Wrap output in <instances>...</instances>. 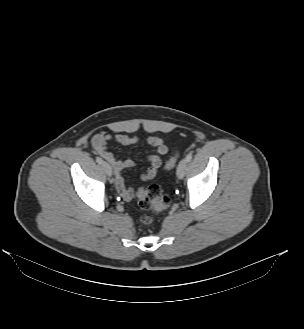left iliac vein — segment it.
<instances>
[{
    "instance_id": "4c4485c4",
    "label": "left iliac vein",
    "mask_w": 304,
    "mask_h": 329,
    "mask_svg": "<svg viewBox=\"0 0 304 329\" xmlns=\"http://www.w3.org/2000/svg\"><path fill=\"white\" fill-rule=\"evenodd\" d=\"M187 160L186 159H182L179 164H178V167H177V171H176V174H177V177L179 179H182L185 175V171H186V167H187Z\"/></svg>"
}]
</instances>
